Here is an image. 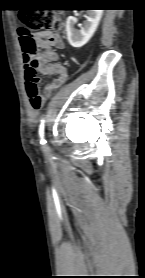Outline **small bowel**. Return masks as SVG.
Returning <instances> with one entry per match:
<instances>
[{"mask_svg": "<svg viewBox=\"0 0 145 278\" xmlns=\"http://www.w3.org/2000/svg\"><path fill=\"white\" fill-rule=\"evenodd\" d=\"M33 36L41 46H53L56 49L64 48V41L57 33L41 32L38 34H29ZM30 62L25 60V69L29 66ZM35 71L47 76H55V78L44 87L45 92H53L61 86L67 79V69L55 62L41 60L35 66Z\"/></svg>", "mask_w": 145, "mask_h": 278, "instance_id": "1", "label": "small bowel"}]
</instances>
